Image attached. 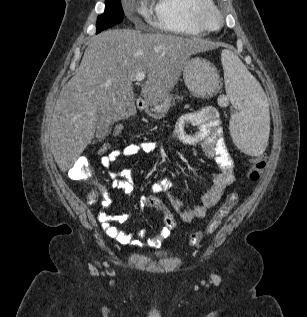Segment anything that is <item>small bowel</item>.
I'll return each instance as SVG.
<instances>
[{"label": "small bowel", "mask_w": 307, "mask_h": 317, "mask_svg": "<svg viewBox=\"0 0 307 317\" xmlns=\"http://www.w3.org/2000/svg\"><path fill=\"white\" fill-rule=\"evenodd\" d=\"M190 125L198 127V131L195 133L188 132L187 127ZM169 139L185 146H200L207 157L218 165L220 171L213 177L210 189L202 196L201 204L194 208L184 206L181 200L172 192L174 182L167 177L155 181L150 187V192L152 194H166L171 206L184 222L203 218L218 203L225 189L235 181L234 162L224 142L218 110L213 106H206L198 111L183 114L177 120L175 129ZM160 148L161 145L158 142L141 141L128 144L102 156L100 163L112 179V188L122 189L129 198L132 197L134 188L129 172H112L113 163L122 157H130L140 153L153 154L158 152ZM99 193L102 195L103 201L102 210L98 213L97 219L105 233L122 244L144 246L139 241V239L145 238L144 231H140L137 235L126 233L113 224L128 221L131 218V214L123 213L117 216H110L106 209L112 203L111 197L102 187L99 188ZM147 198V196H142L140 199V207L142 209L147 206ZM89 200L94 203L97 200V193H93V198H89ZM169 234L170 231L167 228H163L158 235L148 238L146 245L158 248Z\"/></svg>", "instance_id": "1"}]
</instances>
